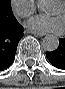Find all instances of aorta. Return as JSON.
Listing matches in <instances>:
<instances>
[{
    "instance_id": "1",
    "label": "aorta",
    "mask_w": 65,
    "mask_h": 89,
    "mask_svg": "<svg viewBox=\"0 0 65 89\" xmlns=\"http://www.w3.org/2000/svg\"><path fill=\"white\" fill-rule=\"evenodd\" d=\"M38 6H39V8H44L45 3L40 2ZM42 46L45 51H48V52L55 51L59 46V39L55 35H51V34L46 35L43 38Z\"/></svg>"
}]
</instances>
